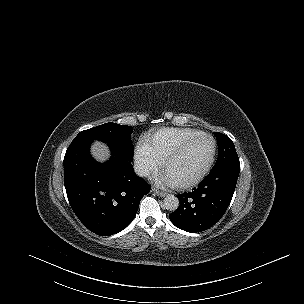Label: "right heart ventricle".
<instances>
[{"label": "right heart ventricle", "mask_w": 304, "mask_h": 304, "mask_svg": "<svg viewBox=\"0 0 304 304\" xmlns=\"http://www.w3.org/2000/svg\"><path fill=\"white\" fill-rule=\"evenodd\" d=\"M200 133L193 128L164 127L150 134L148 145L160 159H164L182 143Z\"/></svg>", "instance_id": "e07e8e85"}]
</instances>
